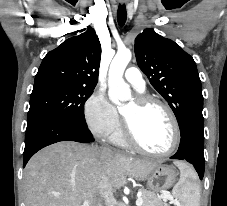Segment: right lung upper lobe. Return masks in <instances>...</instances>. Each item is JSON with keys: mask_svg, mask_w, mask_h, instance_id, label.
I'll list each match as a JSON object with an SVG mask.
<instances>
[{"mask_svg": "<svg viewBox=\"0 0 227 206\" xmlns=\"http://www.w3.org/2000/svg\"><path fill=\"white\" fill-rule=\"evenodd\" d=\"M100 59L101 45L98 36L88 27L85 33L67 39L47 53L35 76V84L58 82L95 88Z\"/></svg>", "mask_w": 227, "mask_h": 206, "instance_id": "right-lung-upper-lobe-1", "label": "right lung upper lobe"}]
</instances>
